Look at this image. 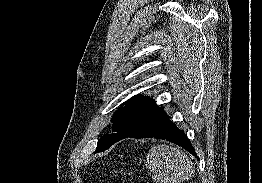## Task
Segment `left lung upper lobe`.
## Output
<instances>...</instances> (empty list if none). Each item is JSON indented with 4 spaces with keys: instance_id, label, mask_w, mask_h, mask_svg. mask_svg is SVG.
I'll list each match as a JSON object with an SVG mask.
<instances>
[{
    "instance_id": "1",
    "label": "left lung upper lobe",
    "mask_w": 262,
    "mask_h": 183,
    "mask_svg": "<svg viewBox=\"0 0 262 183\" xmlns=\"http://www.w3.org/2000/svg\"><path fill=\"white\" fill-rule=\"evenodd\" d=\"M112 118V133L98 140L95 153L106 150L115 142L137 132L159 109L151 98L136 95L124 103Z\"/></svg>"
}]
</instances>
